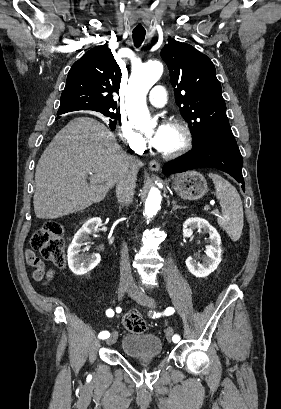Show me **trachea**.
Segmentation results:
<instances>
[{"label": "trachea", "instance_id": "3493384b", "mask_svg": "<svg viewBox=\"0 0 281 409\" xmlns=\"http://www.w3.org/2000/svg\"><path fill=\"white\" fill-rule=\"evenodd\" d=\"M145 35L146 32H133L132 37L135 47L139 48L142 45Z\"/></svg>", "mask_w": 281, "mask_h": 409}]
</instances>
